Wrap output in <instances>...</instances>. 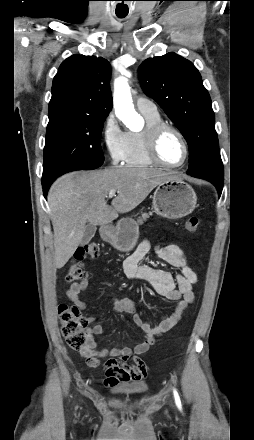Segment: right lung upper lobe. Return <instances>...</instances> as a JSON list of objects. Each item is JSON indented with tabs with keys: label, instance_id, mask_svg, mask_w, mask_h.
<instances>
[{
	"label": "right lung upper lobe",
	"instance_id": "right-lung-upper-lobe-1",
	"mask_svg": "<svg viewBox=\"0 0 254 440\" xmlns=\"http://www.w3.org/2000/svg\"><path fill=\"white\" fill-rule=\"evenodd\" d=\"M110 64L103 58L72 55L53 79L49 113L71 110L107 117L112 108Z\"/></svg>",
	"mask_w": 254,
	"mask_h": 440
}]
</instances>
